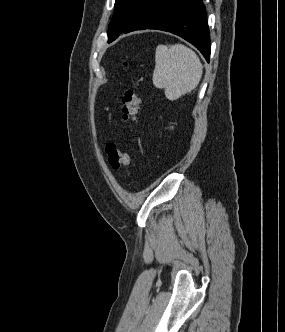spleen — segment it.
<instances>
[{
  "label": "spleen",
  "mask_w": 285,
  "mask_h": 332,
  "mask_svg": "<svg viewBox=\"0 0 285 332\" xmlns=\"http://www.w3.org/2000/svg\"><path fill=\"white\" fill-rule=\"evenodd\" d=\"M153 84L164 89L174 101L194 90L200 82L203 66L196 53L183 44L158 45L155 53Z\"/></svg>",
  "instance_id": "1"
}]
</instances>
